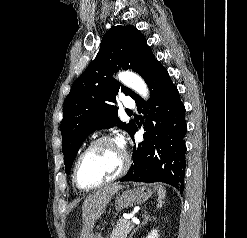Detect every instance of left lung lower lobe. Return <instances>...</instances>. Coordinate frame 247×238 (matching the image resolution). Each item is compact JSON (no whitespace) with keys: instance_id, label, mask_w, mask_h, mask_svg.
<instances>
[{"instance_id":"obj_1","label":"left lung lower lobe","mask_w":247,"mask_h":238,"mask_svg":"<svg viewBox=\"0 0 247 238\" xmlns=\"http://www.w3.org/2000/svg\"><path fill=\"white\" fill-rule=\"evenodd\" d=\"M150 99H135L138 111L144 113L147 131L144 141L133 148V165L120 181L164 182L182 191L184 188V136L187 131L185 107L167 70L159 64L148 81ZM137 126L130 136L133 138Z\"/></svg>"}]
</instances>
